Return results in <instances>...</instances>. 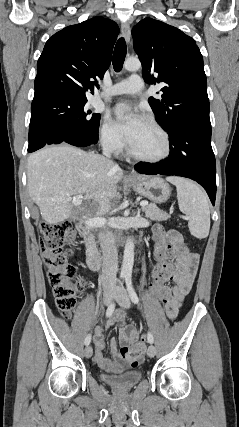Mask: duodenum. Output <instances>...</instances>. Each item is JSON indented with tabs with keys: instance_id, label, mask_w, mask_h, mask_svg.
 Instances as JSON below:
<instances>
[{
	"instance_id": "1",
	"label": "duodenum",
	"mask_w": 239,
	"mask_h": 427,
	"mask_svg": "<svg viewBox=\"0 0 239 427\" xmlns=\"http://www.w3.org/2000/svg\"><path fill=\"white\" fill-rule=\"evenodd\" d=\"M78 232L82 239V245L89 268L93 271H98L101 267V258L90 230L85 226H79Z\"/></svg>"
}]
</instances>
